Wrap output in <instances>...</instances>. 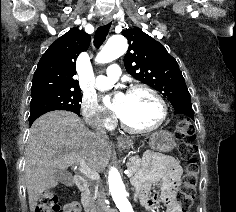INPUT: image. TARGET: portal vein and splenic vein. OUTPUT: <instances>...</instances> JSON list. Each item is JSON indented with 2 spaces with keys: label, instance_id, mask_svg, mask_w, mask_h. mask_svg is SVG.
I'll use <instances>...</instances> for the list:
<instances>
[{
  "label": "portal vein and splenic vein",
  "instance_id": "18ae733b",
  "mask_svg": "<svg viewBox=\"0 0 236 212\" xmlns=\"http://www.w3.org/2000/svg\"><path fill=\"white\" fill-rule=\"evenodd\" d=\"M79 171H80V173H82L83 175H85L86 177H88L89 179L96 180V179H99V178H100L99 174H98L96 171H94V170L90 169L89 167H87V166L84 164V161H83V160L80 161ZM126 174H127L129 177L133 175L132 172L129 171V170H126Z\"/></svg>",
  "mask_w": 236,
  "mask_h": 212
}]
</instances>
